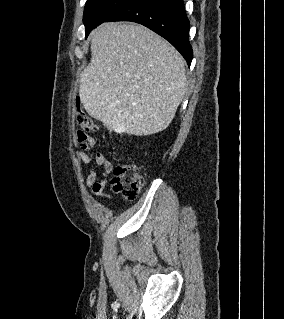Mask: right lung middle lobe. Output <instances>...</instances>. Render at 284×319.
I'll use <instances>...</instances> for the list:
<instances>
[{"label": "right lung middle lobe", "instance_id": "right-lung-middle-lobe-1", "mask_svg": "<svg viewBox=\"0 0 284 319\" xmlns=\"http://www.w3.org/2000/svg\"><path fill=\"white\" fill-rule=\"evenodd\" d=\"M133 0H87L84 9L86 37L101 23Z\"/></svg>", "mask_w": 284, "mask_h": 319}]
</instances>
